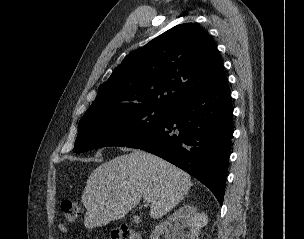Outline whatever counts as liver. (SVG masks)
Instances as JSON below:
<instances>
[{"label":"liver","instance_id":"liver-1","mask_svg":"<svg viewBox=\"0 0 304 239\" xmlns=\"http://www.w3.org/2000/svg\"><path fill=\"white\" fill-rule=\"evenodd\" d=\"M190 180L183 170L145 151L117 156L93 170L86 182L84 224L90 229L119 220L145 197L152 203L150 216L160 218L188 193Z\"/></svg>","mask_w":304,"mask_h":239}]
</instances>
